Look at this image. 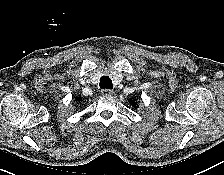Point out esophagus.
<instances>
[{
  "label": "esophagus",
  "mask_w": 224,
  "mask_h": 175,
  "mask_svg": "<svg viewBox=\"0 0 224 175\" xmlns=\"http://www.w3.org/2000/svg\"><path fill=\"white\" fill-rule=\"evenodd\" d=\"M101 93L103 96H111L114 92L111 89H102Z\"/></svg>",
  "instance_id": "esophagus-1"
}]
</instances>
